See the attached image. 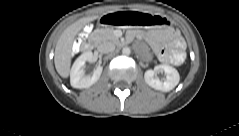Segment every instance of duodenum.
I'll list each match as a JSON object with an SVG mask.
<instances>
[{
	"instance_id": "obj_1",
	"label": "duodenum",
	"mask_w": 239,
	"mask_h": 136,
	"mask_svg": "<svg viewBox=\"0 0 239 136\" xmlns=\"http://www.w3.org/2000/svg\"><path fill=\"white\" fill-rule=\"evenodd\" d=\"M85 35L82 34L80 35L76 40H75V46L84 50V51H90L93 46V42L91 40H86L85 41Z\"/></svg>"
}]
</instances>
